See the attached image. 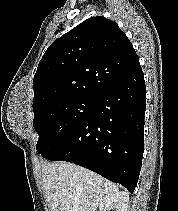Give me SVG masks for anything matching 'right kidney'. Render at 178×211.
<instances>
[{"mask_svg": "<svg viewBox=\"0 0 178 211\" xmlns=\"http://www.w3.org/2000/svg\"><path fill=\"white\" fill-rule=\"evenodd\" d=\"M129 195L127 192H117L105 199L99 206L100 211H127Z\"/></svg>", "mask_w": 178, "mask_h": 211, "instance_id": "1", "label": "right kidney"}]
</instances>
